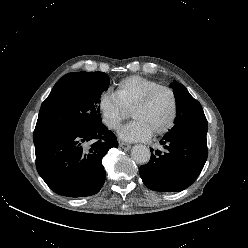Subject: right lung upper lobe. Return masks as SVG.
<instances>
[{"instance_id":"right-lung-upper-lobe-1","label":"right lung upper lobe","mask_w":248,"mask_h":248,"mask_svg":"<svg viewBox=\"0 0 248 248\" xmlns=\"http://www.w3.org/2000/svg\"><path fill=\"white\" fill-rule=\"evenodd\" d=\"M71 74H73V73H69V74L63 76L61 79L65 78V77H68V76H70Z\"/></svg>"}]
</instances>
